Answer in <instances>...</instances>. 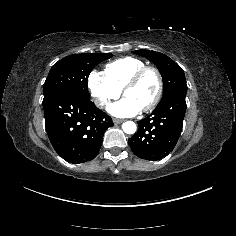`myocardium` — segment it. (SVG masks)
<instances>
[{
	"label": "myocardium",
	"mask_w": 236,
	"mask_h": 236,
	"mask_svg": "<svg viewBox=\"0 0 236 236\" xmlns=\"http://www.w3.org/2000/svg\"><path fill=\"white\" fill-rule=\"evenodd\" d=\"M148 72L153 73L154 76L156 77L157 88H156V93H155L153 99L151 100V102L146 107H144L142 109L143 112H147V111H150L151 109H153L159 103V101L162 97L164 84H163V77H162V74L160 73V71L153 66H144V67L140 68L139 70H137L125 82V84L122 88V94L124 95V93L127 89L136 85L140 81V79Z\"/></svg>",
	"instance_id": "f54148a6"
}]
</instances>
